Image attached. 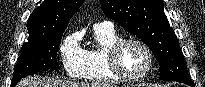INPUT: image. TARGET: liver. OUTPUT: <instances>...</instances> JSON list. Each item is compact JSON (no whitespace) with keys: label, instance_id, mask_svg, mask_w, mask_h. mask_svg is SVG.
Instances as JSON below:
<instances>
[{"label":"liver","instance_id":"1","mask_svg":"<svg viewBox=\"0 0 205 87\" xmlns=\"http://www.w3.org/2000/svg\"><path fill=\"white\" fill-rule=\"evenodd\" d=\"M17 87H114L110 84L98 82L78 83L70 81H62L54 78H40L39 76H31L23 79L17 84Z\"/></svg>","mask_w":205,"mask_h":87}]
</instances>
